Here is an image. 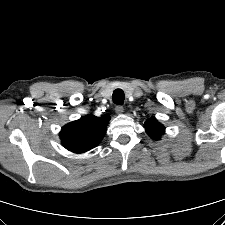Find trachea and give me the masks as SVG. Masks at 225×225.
Here are the masks:
<instances>
[{
	"label": "trachea",
	"mask_w": 225,
	"mask_h": 225,
	"mask_svg": "<svg viewBox=\"0 0 225 225\" xmlns=\"http://www.w3.org/2000/svg\"><path fill=\"white\" fill-rule=\"evenodd\" d=\"M124 98L125 95L122 89L114 90L112 99L115 104L122 105L124 103Z\"/></svg>",
	"instance_id": "3493384b"
}]
</instances>
